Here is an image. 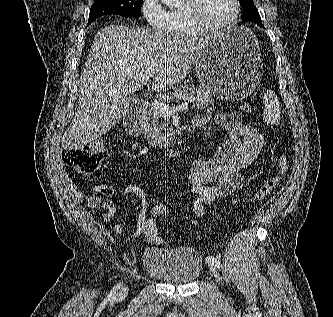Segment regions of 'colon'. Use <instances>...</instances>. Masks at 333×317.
<instances>
[{"label": "colon", "mask_w": 333, "mask_h": 317, "mask_svg": "<svg viewBox=\"0 0 333 317\" xmlns=\"http://www.w3.org/2000/svg\"><path fill=\"white\" fill-rule=\"evenodd\" d=\"M241 110L245 113H252L253 109L248 104H243ZM105 155L103 145L99 141L87 144L81 148L67 149L63 153L64 163L83 175L94 173L101 166ZM289 169L287 158L284 154L280 155L275 174L268 177L256 189L252 201L259 203L264 201L278 186L282 177ZM170 210L167 205L157 203L148 208L145 218V230L149 240L155 244H162L163 239L159 235L158 225L168 219Z\"/></svg>", "instance_id": "obj_1"}]
</instances>
